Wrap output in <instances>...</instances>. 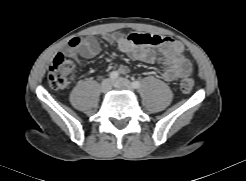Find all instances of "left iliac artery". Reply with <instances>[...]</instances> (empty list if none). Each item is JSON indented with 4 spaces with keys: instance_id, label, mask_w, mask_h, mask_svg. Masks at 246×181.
Instances as JSON below:
<instances>
[{
    "instance_id": "1",
    "label": "left iliac artery",
    "mask_w": 246,
    "mask_h": 181,
    "mask_svg": "<svg viewBox=\"0 0 246 181\" xmlns=\"http://www.w3.org/2000/svg\"><path fill=\"white\" fill-rule=\"evenodd\" d=\"M140 86H141V84H140L139 81H134V82H132V87H133L134 89H138V88H140Z\"/></svg>"
}]
</instances>
